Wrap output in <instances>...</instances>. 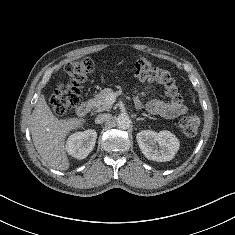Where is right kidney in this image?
I'll return each instance as SVG.
<instances>
[{"label": "right kidney", "instance_id": "ca27d5eb", "mask_svg": "<svg viewBox=\"0 0 235 235\" xmlns=\"http://www.w3.org/2000/svg\"><path fill=\"white\" fill-rule=\"evenodd\" d=\"M96 139L97 132L92 129L74 133L66 142V151L76 159H84L93 150Z\"/></svg>", "mask_w": 235, "mask_h": 235}]
</instances>
